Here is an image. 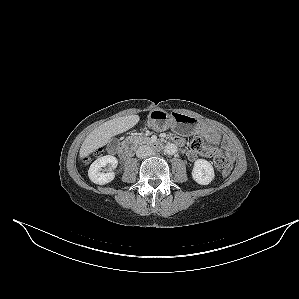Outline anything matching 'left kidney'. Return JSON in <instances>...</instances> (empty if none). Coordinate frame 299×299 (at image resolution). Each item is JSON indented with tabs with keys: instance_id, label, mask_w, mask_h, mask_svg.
<instances>
[{
	"instance_id": "5707ae66",
	"label": "left kidney",
	"mask_w": 299,
	"mask_h": 299,
	"mask_svg": "<svg viewBox=\"0 0 299 299\" xmlns=\"http://www.w3.org/2000/svg\"><path fill=\"white\" fill-rule=\"evenodd\" d=\"M193 179L200 185H208L214 179V169L211 163L205 159H198L192 170Z\"/></svg>"
}]
</instances>
